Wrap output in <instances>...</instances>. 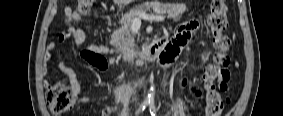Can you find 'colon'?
<instances>
[{
  "instance_id": "5ec220e1",
  "label": "colon",
  "mask_w": 283,
  "mask_h": 116,
  "mask_svg": "<svg viewBox=\"0 0 283 116\" xmlns=\"http://www.w3.org/2000/svg\"><path fill=\"white\" fill-rule=\"evenodd\" d=\"M92 5V0H79L78 11L80 13H88L92 9ZM208 24L212 32L215 53L212 62L203 71L206 100L205 110L208 116H220L225 103L229 101L228 98L223 99L221 92L227 90V84L230 80V73L228 71L230 57L228 51L231 40L225 34L228 19L227 6L224 0L211 1ZM46 99L50 111L55 115H61L68 112L74 106L75 94L66 83L57 82L49 85Z\"/></svg>"
}]
</instances>
